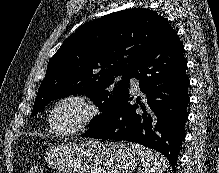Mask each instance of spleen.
I'll use <instances>...</instances> for the list:
<instances>
[{"instance_id": "spleen-1", "label": "spleen", "mask_w": 219, "mask_h": 173, "mask_svg": "<svg viewBox=\"0 0 219 173\" xmlns=\"http://www.w3.org/2000/svg\"><path fill=\"white\" fill-rule=\"evenodd\" d=\"M132 148L142 163L140 173H162L166 169L167 159L158 152L140 144H132Z\"/></svg>"}]
</instances>
